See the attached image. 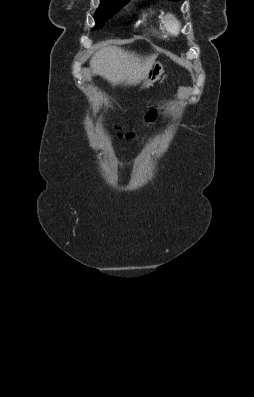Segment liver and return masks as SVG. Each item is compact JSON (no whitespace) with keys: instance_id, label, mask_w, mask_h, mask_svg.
Masks as SVG:
<instances>
[{"instance_id":"obj_1","label":"liver","mask_w":254,"mask_h":397,"mask_svg":"<svg viewBox=\"0 0 254 397\" xmlns=\"http://www.w3.org/2000/svg\"><path fill=\"white\" fill-rule=\"evenodd\" d=\"M156 55L141 57L120 47L107 46L96 52L90 60L93 74L112 85H136L147 75Z\"/></svg>"}]
</instances>
